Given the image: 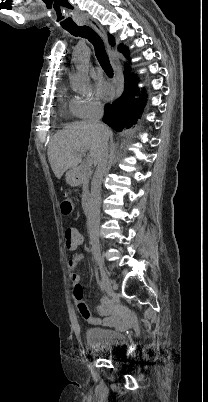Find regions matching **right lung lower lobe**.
<instances>
[{
	"label": "right lung lower lobe",
	"mask_w": 208,
	"mask_h": 402,
	"mask_svg": "<svg viewBox=\"0 0 208 402\" xmlns=\"http://www.w3.org/2000/svg\"><path fill=\"white\" fill-rule=\"evenodd\" d=\"M125 55L128 54V49L124 46L120 51ZM125 89L122 96L112 104H106L103 122L109 125L116 131H121L124 127L131 128L137 123V119L143 111L146 96L136 99L137 83L130 75L128 64H125Z\"/></svg>",
	"instance_id": "1"
}]
</instances>
